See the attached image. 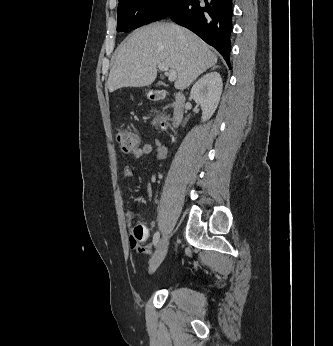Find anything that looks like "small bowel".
Listing matches in <instances>:
<instances>
[{
	"label": "small bowel",
	"instance_id": "small-bowel-1",
	"mask_svg": "<svg viewBox=\"0 0 333 346\" xmlns=\"http://www.w3.org/2000/svg\"><path fill=\"white\" fill-rule=\"evenodd\" d=\"M155 150L158 160H164L167 157V148L160 142L152 144H144L132 152V155L136 158H141L151 154ZM123 176L129 179L133 176V169L130 166H126L123 170ZM155 180V177H152ZM148 195H151V189L148 190ZM134 216L132 213L127 215V224L129 227L133 226ZM135 227V226H134ZM128 246L132 247L135 254H148L151 250V246L147 243H142L140 236L135 235V232H130Z\"/></svg>",
	"mask_w": 333,
	"mask_h": 346
}]
</instances>
